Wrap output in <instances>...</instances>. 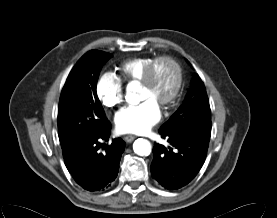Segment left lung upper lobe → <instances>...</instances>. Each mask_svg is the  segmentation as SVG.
<instances>
[{
    "label": "left lung upper lobe",
    "mask_w": 277,
    "mask_h": 218,
    "mask_svg": "<svg viewBox=\"0 0 277 218\" xmlns=\"http://www.w3.org/2000/svg\"><path fill=\"white\" fill-rule=\"evenodd\" d=\"M165 128L211 129V110L207 92L201 78L196 74L191 82L183 105L161 126Z\"/></svg>",
    "instance_id": "5c2ea615"
}]
</instances>
